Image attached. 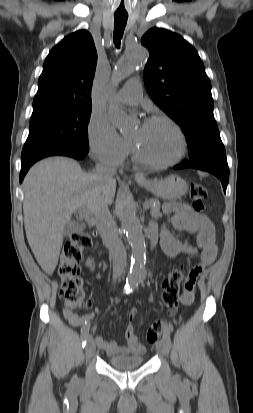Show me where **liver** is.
Returning a JSON list of instances; mask_svg holds the SVG:
<instances>
[{"label":"liver","instance_id":"liver-1","mask_svg":"<svg viewBox=\"0 0 253 413\" xmlns=\"http://www.w3.org/2000/svg\"><path fill=\"white\" fill-rule=\"evenodd\" d=\"M24 226L29 246L43 271L52 275L63 244V229L77 209L96 215L113 202L116 180L85 173L78 162L52 157L36 163L23 181Z\"/></svg>","mask_w":253,"mask_h":413}]
</instances>
